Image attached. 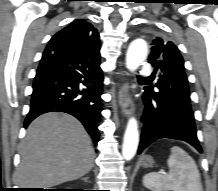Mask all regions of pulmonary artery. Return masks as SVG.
<instances>
[{
    "label": "pulmonary artery",
    "mask_w": 218,
    "mask_h": 191,
    "mask_svg": "<svg viewBox=\"0 0 218 191\" xmlns=\"http://www.w3.org/2000/svg\"><path fill=\"white\" fill-rule=\"evenodd\" d=\"M152 73V67L149 64H145L140 71L142 76H150Z\"/></svg>",
    "instance_id": "e3ab8cb5"
}]
</instances>
